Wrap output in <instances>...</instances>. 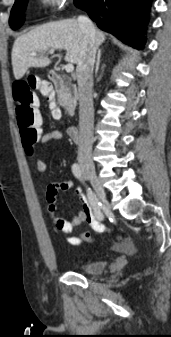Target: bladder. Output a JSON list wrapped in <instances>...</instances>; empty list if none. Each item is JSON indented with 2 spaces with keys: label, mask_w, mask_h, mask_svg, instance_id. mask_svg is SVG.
<instances>
[{
  "label": "bladder",
  "mask_w": 171,
  "mask_h": 337,
  "mask_svg": "<svg viewBox=\"0 0 171 337\" xmlns=\"http://www.w3.org/2000/svg\"><path fill=\"white\" fill-rule=\"evenodd\" d=\"M105 265V262L102 260H90L75 264V267L85 274L98 275L104 271Z\"/></svg>",
  "instance_id": "bladder-1"
}]
</instances>
